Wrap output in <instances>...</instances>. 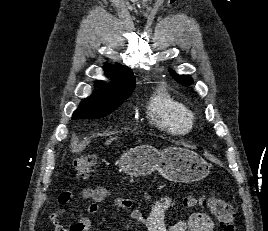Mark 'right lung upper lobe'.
I'll return each mask as SVG.
<instances>
[{
	"instance_id": "1",
	"label": "right lung upper lobe",
	"mask_w": 268,
	"mask_h": 231,
	"mask_svg": "<svg viewBox=\"0 0 268 231\" xmlns=\"http://www.w3.org/2000/svg\"><path fill=\"white\" fill-rule=\"evenodd\" d=\"M106 75L112 78V83L106 85L103 82L97 83L99 90L84 99L81 105L88 103L117 104L124 102L135 89V77L127 66L117 64L110 68L105 65Z\"/></svg>"
}]
</instances>
